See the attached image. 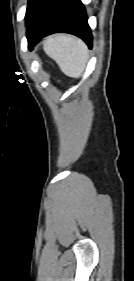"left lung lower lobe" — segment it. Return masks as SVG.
Wrapping results in <instances>:
<instances>
[{
    "label": "left lung lower lobe",
    "mask_w": 134,
    "mask_h": 281,
    "mask_svg": "<svg viewBox=\"0 0 134 281\" xmlns=\"http://www.w3.org/2000/svg\"><path fill=\"white\" fill-rule=\"evenodd\" d=\"M80 0H40L27 26L28 48L50 33L63 31L76 35L92 47V35Z\"/></svg>",
    "instance_id": "1"
}]
</instances>
